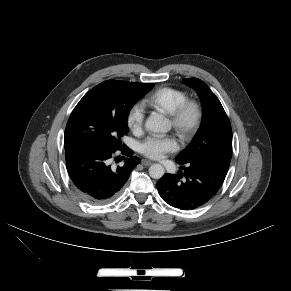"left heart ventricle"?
I'll use <instances>...</instances> for the list:
<instances>
[{
    "label": "left heart ventricle",
    "instance_id": "b2bd125f",
    "mask_svg": "<svg viewBox=\"0 0 291 291\" xmlns=\"http://www.w3.org/2000/svg\"><path fill=\"white\" fill-rule=\"evenodd\" d=\"M191 119H192V115L189 113V114L186 116V118H185V123H186V124L190 123ZM170 123H171V122H170Z\"/></svg>",
    "mask_w": 291,
    "mask_h": 291
}]
</instances>
